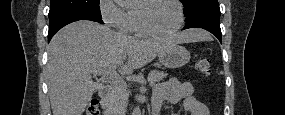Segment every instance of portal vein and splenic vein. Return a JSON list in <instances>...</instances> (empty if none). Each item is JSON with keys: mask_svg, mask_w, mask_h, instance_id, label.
I'll return each instance as SVG.
<instances>
[{"mask_svg": "<svg viewBox=\"0 0 285 115\" xmlns=\"http://www.w3.org/2000/svg\"><path fill=\"white\" fill-rule=\"evenodd\" d=\"M98 74H101L103 76H107L110 78V80L115 83L116 85H124L126 86L125 81L119 76V74L116 72V70H103V69H99L95 71ZM153 83H151L150 85H152Z\"/></svg>", "mask_w": 285, "mask_h": 115, "instance_id": "1", "label": "portal vein and splenic vein"}]
</instances>
